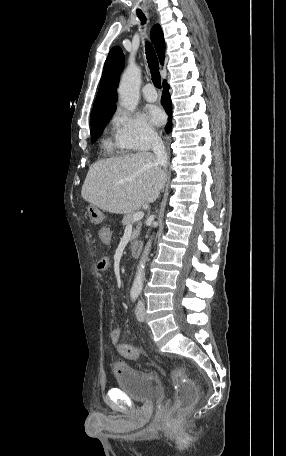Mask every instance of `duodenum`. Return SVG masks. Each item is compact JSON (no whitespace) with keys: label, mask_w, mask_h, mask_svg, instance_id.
<instances>
[{"label":"duodenum","mask_w":286,"mask_h":456,"mask_svg":"<svg viewBox=\"0 0 286 456\" xmlns=\"http://www.w3.org/2000/svg\"><path fill=\"white\" fill-rule=\"evenodd\" d=\"M130 251L133 256H139L142 251V242L141 241L133 242L131 244Z\"/></svg>","instance_id":"410a0bca"}]
</instances>
